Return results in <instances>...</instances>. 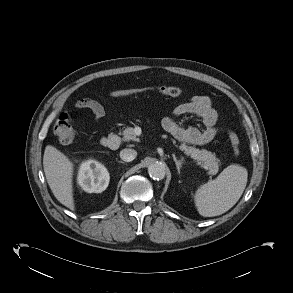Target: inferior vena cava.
Returning a JSON list of instances; mask_svg holds the SVG:
<instances>
[{
  "label": "inferior vena cava",
  "instance_id": "inferior-vena-cava-1",
  "mask_svg": "<svg viewBox=\"0 0 293 293\" xmlns=\"http://www.w3.org/2000/svg\"><path fill=\"white\" fill-rule=\"evenodd\" d=\"M137 156V152L134 149H123L120 152V158L125 162L133 161Z\"/></svg>",
  "mask_w": 293,
  "mask_h": 293
}]
</instances>
